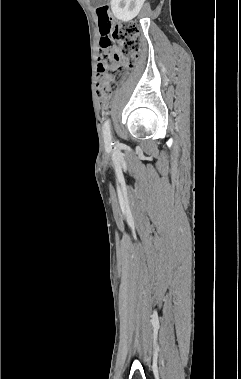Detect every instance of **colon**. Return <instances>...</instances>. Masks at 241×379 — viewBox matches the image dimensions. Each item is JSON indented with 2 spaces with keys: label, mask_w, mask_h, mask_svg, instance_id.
I'll return each mask as SVG.
<instances>
[{
  "label": "colon",
  "mask_w": 241,
  "mask_h": 379,
  "mask_svg": "<svg viewBox=\"0 0 241 379\" xmlns=\"http://www.w3.org/2000/svg\"><path fill=\"white\" fill-rule=\"evenodd\" d=\"M97 14L104 35L97 66V94L105 102L116 89L117 82L125 76L126 70L136 63L140 48L139 28L135 23L112 24L109 5L98 7Z\"/></svg>",
  "instance_id": "colon-1"
}]
</instances>
